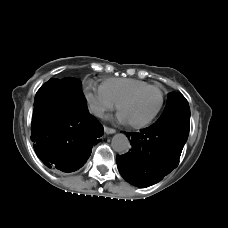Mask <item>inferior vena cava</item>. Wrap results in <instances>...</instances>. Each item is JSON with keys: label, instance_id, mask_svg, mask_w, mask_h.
I'll list each match as a JSON object with an SVG mask.
<instances>
[{"label": "inferior vena cava", "instance_id": "1", "mask_svg": "<svg viewBox=\"0 0 228 228\" xmlns=\"http://www.w3.org/2000/svg\"><path fill=\"white\" fill-rule=\"evenodd\" d=\"M89 112L98 116V117H102L104 114V108L101 106H98L96 104H90Z\"/></svg>", "mask_w": 228, "mask_h": 228}]
</instances>
